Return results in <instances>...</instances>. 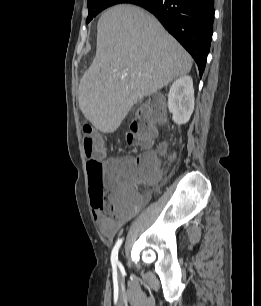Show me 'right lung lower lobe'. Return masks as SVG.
I'll return each mask as SVG.
<instances>
[{
    "label": "right lung lower lobe",
    "mask_w": 261,
    "mask_h": 306,
    "mask_svg": "<svg viewBox=\"0 0 261 306\" xmlns=\"http://www.w3.org/2000/svg\"><path fill=\"white\" fill-rule=\"evenodd\" d=\"M153 13L191 54L202 76L212 39L214 0H134Z\"/></svg>",
    "instance_id": "1"
}]
</instances>
